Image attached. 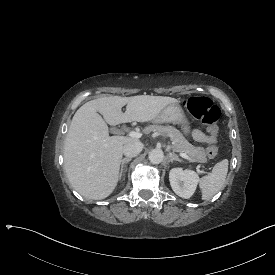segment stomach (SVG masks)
Instances as JSON below:
<instances>
[{
	"label": "stomach",
	"mask_w": 275,
	"mask_h": 275,
	"mask_svg": "<svg viewBox=\"0 0 275 275\" xmlns=\"http://www.w3.org/2000/svg\"><path fill=\"white\" fill-rule=\"evenodd\" d=\"M183 120L182 109L177 103H170L163 107L150 121L152 123H174Z\"/></svg>",
	"instance_id": "0dacf381"
}]
</instances>
